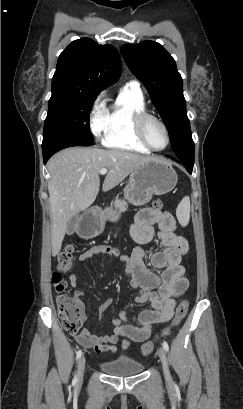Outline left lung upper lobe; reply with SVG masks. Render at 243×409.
<instances>
[{
    "instance_id": "1",
    "label": "left lung upper lobe",
    "mask_w": 243,
    "mask_h": 409,
    "mask_svg": "<svg viewBox=\"0 0 243 409\" xmlns=\"http://www.w3.org/2000/svg\"><path fill=\"white\" fill-rule=\"evenodd\" d=\"M121 53L132 73L144 84L165 126L172 148L181 163L194 164L183 81L175 60L159 43L126 44Z\"/></svg>"
}]
</instances>
